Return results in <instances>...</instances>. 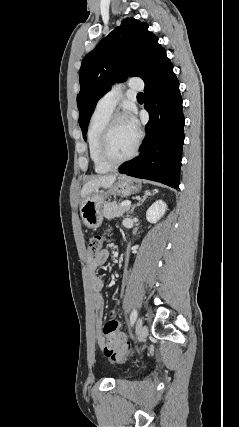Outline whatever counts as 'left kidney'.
<instances>
[{
  "mask_svg": "<svg viewBox=\"0 0 239 427\" xmlns=\"http://www.w3.org/2000/svg\"><path fill=\"white\" fill-rule=\"evenodd\" d=\"M167 210V205L162 200L154 202L146 212V219L150 223H156Z\"/></svg>",
  "mask_w": 239,
  "mask_h": 427,
  "instance_id": "obj_1",
  "label": "left kidney"
}]
</instances>
